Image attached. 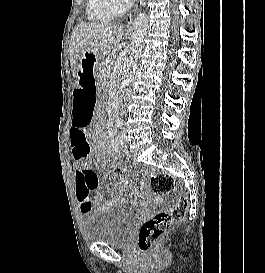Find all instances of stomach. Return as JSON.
I'll return each instance as SVG.
<instances>
[{
    "label": "stomach",
    "mask_w": 265,
    "mask_h": 273,
    "mask_svg": "<svg viewBox=\"0 0 265 273\" xmlns=\"http://www.w3.org/2000/svg\"><path fill=\"white\" fill-rule=\"evenodd\" d=\"M100 56L97 53L85 51L80 59L78 85L76 90H96V68L99 65Z\"/></svg>",
    "instance_id": "obj_1"
}]
</instances>
